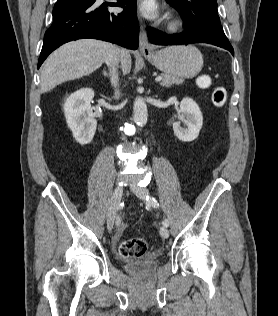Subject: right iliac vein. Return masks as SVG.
I'll return each instance as SVG.
<instances>
[{"mask_svg": "<svg viewBox=\"0 0 278 316\" xmlns=\"http://www.w3.org/2000/svg\"><path fill=\"white\" fill-rule=\"evenodd\" d=\"M122 194H123V188L119 185L116 186L111 198L110 207H109V211L107 215V228L109 231H111L113 228L116 213H117V210L122 198Z\"/></svg>", "mask_w": 278, "mask_h": 316, "instance_id": "63e3f726", "label": "right iliac vein"}]
</instances>
